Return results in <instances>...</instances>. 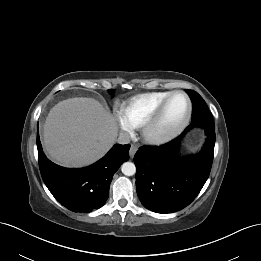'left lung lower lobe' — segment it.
I'll list each match as a JSON object with an SVG mask.
<instances>
[{"mask_svg":"<svg viewBox=\"0 0 261 261\" xmlns=\"http://www.w3.org/2000/svg\"><path fill=\"white\" fill-rule=\"evenodd\" d=\"M197 126L203 127L207 134L204 147L196 155L180 157V141L188 130ZM214 145V124H190L180 136L164 145L141 147L134 156L141 203L157 213L176 212L189 205L209 177Z\"/></svg>","mask_w":261,"mask_h":261,"instance_id":"left-lung-lower-lobe-1","label":"left lung lower lobe"}]
</instances>
